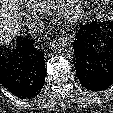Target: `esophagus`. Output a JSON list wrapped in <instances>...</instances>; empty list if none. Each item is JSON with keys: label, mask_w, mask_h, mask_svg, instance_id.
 I'll return each mask as SVG.
<instances>
[{"label": "esophagus", "mask_w": 113, "mask_h": 113, "mask_svg": "<svg viewBox=\"0 0 113 113\" xmlns=\"http://www.w3.org/2000/svg\"><path fill=\"white\" fill-rule=\"evenodd\" d=\"M62 38L68 42H72L74 40V36H72V35H65Z\"/></svg>", "instance_id": "34e87169"}]
</instances>
